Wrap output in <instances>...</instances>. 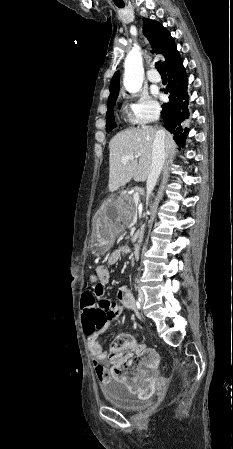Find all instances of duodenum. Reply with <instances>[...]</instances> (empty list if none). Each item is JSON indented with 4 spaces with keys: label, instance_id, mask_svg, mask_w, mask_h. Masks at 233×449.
Returning <instances> with one entry per match:
<instances>
[{
    "label": "duodenum",
    "instance_id": "1",
    "mask_svg": "<svg viewBox=\"0 0 233 449\" xmlns=\"http://www.w3.org/2000/svg\"><path fill=\"white\" fill-rule=\"evenodd\" d=\"M141 251H142V249H141V245L140 244H138V243L133 244V246L131 248V252H132V255L135 258L138 259L141 256Z\"/></svg>",
    "mask_w": 233,
    "mask_h": 449
}]
</instances>
